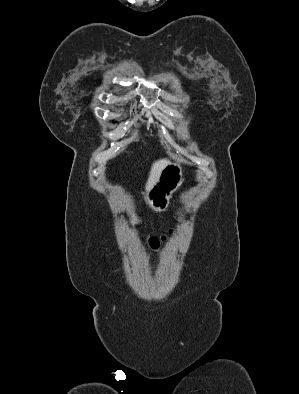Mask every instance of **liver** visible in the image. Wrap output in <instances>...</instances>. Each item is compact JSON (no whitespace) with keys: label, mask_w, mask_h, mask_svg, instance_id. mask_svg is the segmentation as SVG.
I'll use <instances>...</instances> for the list:
<instances>
[{"label":"liver","mask_w":299,"mask_h":394,"mask_svg":"<svg viewBox=\"0 0 299 394\" xmlns=\"http://www.w3.org/2000/svg\"><path fill=\"white\" fill-rule=\"evenodd\" d=\"M167 163H168V161L166 159H161V160H158L153 163V165L151 167L150 174H149V178H148L146 186H145L146 191H148L153 186V184L157 180L159 174L161 173L163 167Z\"/></svg>","instance_id":"1"}]
</instances>
